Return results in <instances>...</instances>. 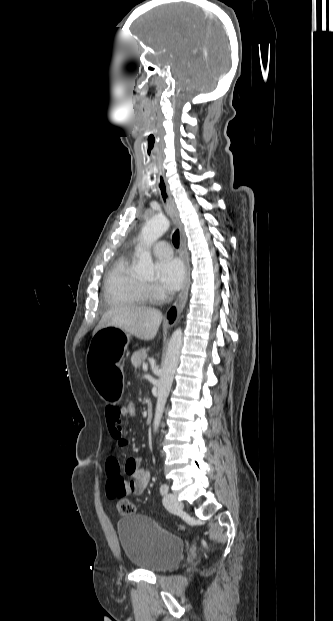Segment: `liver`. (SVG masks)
Segmentation results:
<instances>
[{
	"label": "liver",
	"instance_id": "1",
	"mask_svg": "<svg viewBox=\"0 0 333 621\" xmlns=\"http://www.w3.org/2000/svg\"><path fill=\"white\" fill-rule=\"evenodd\" d=\"M162 314L154 308L122 306L106 311L93 335L107 326L120 328L141 340H152L159 329Z\"/></svg>",
	"mask_w": 333,
	"mask_h": 621
}]
</instances>
